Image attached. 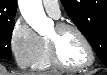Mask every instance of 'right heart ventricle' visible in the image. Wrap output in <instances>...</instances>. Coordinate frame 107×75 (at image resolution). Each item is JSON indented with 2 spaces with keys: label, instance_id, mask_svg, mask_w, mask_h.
Listing matches in <instances>:
<instances>
[{
  "label": "right heart ventricle",
  "instance_id": "right-heart-ventricle-1",
  "mask_svg": "<svg viewBox=\"0 0 107 75\" xmlns=\"http://www.w3.org/2000/svg\"><path fill=\"white\" fill-rule=\"evenodd\" d=\"M34 70L46 71L53 69V65L49 57V47L47 39L41 38V47L34 63L32 64Z\"/></svg>",
  "mask_w": 107,
  "mask_h": 75
}]
</instances>
